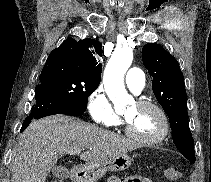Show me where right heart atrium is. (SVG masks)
I'll return each instance as SVG.
<instances>
[{"instance_id": "obj_1", "label": "right heart atrium", "mask_w": 211, "mask_h": 182, "mask_svg": "<svg viewBox=\"0 0 211 182\" xmlns=\"http://www.w3.org/2000/svg\"><path fill=\"white\" fill-rule=\"evenodd\" d=\"M87 109L91 119L100 125L116 126L121 122L108 96L101 87L96 88L88 97Z\"/></svg>"}]
</instances>
